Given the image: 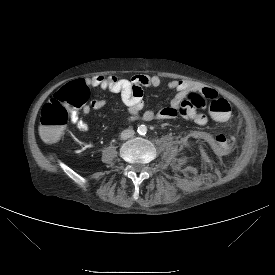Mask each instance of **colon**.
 Here are the masks:
<instances>
[{"instance_id": "1", "label": "colon", "mask_w": 275, "mask_h": 275, "mask_svg": "<svg viewBox=\"0 0 275 275\" xmlns=\"http://www.w3.org/2000/svg\"><path fill=\"white\" fill-rule=\"evenodd\" d=\"M88 97V88L81 80L61 87L40 112L39 124L44 140L56 141L63 134L71 113L84 108ZM188 103L194 110L208 107L214 119L221 123L228 121L232 115L230 102L212 91L192 93Z\"/></svg>"}]
</instances>
